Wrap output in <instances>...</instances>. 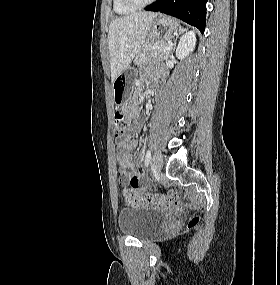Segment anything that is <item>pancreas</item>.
<instances>
[{
  "mask_svg": "<svg viewBox=\"0 0 280 285\" xmlns=\"http://www.w3.org/2000/svg\"><path fill=\"white\" fill-rule=\"evenodd\" d=\"M170 42V38L150 42L141 49L134 61L135 64L142 65L151 58L167 59L169 56V51H165V47L170 45Z\"/></svg>",
  "mask_w": 280,
  "mask_h": 285,
  "instance_id": "1",
  "label": "pancreas"
}]
</instances>
